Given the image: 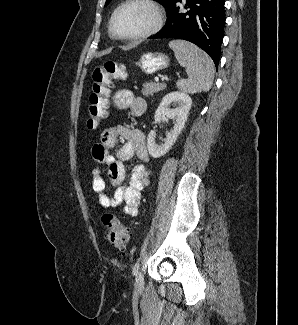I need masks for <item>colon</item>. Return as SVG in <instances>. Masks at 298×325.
<instances>
[{"label":"colon","mask_w":298,"mask_h":325,"mask_svg":"<svg viewBox=\"0 0 298 325\" xmlns=\"http://www.w3.org/2000/svg\"><path fill=\"white\" fill-rule=\"evenodd\" d=\"M126 77V67L123 64L108 61L96 67L92 72L93 89L89 98L87 110V127L97 129L106 118L108 96L115 80ZM105 227V238L115 248L125 250L129 241V230L120 223L115 214L106 212L102 215Z\"/></svg>","instance_id":"colon-1"}]
</instances>
